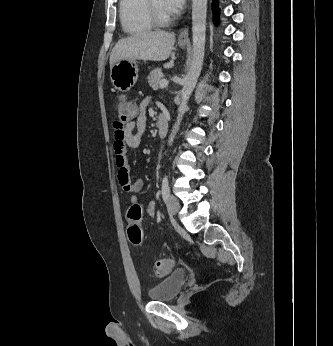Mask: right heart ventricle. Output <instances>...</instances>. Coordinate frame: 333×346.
Instances as JSON below:
<instances>
[{"instance_id":"1","label":"right heart ventricle","mask_w":333,"mask_h":346,"mask_svg":"<svg viewBox=\"0 0 333 346\" xmlns=\"http://www.w3.org/2000/svg\"><path fill=\"white\" fill-rule=\"evenodd\" d=\"M119 18L127 34H140L153 28L146 0H120Z\"/></svg>"}]
</instances>
